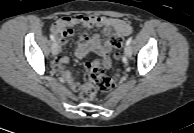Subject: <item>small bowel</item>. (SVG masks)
<instances>
[{
    "label": "small bowel",
    "mask_w": 194,
    "mask_h": 133,
    "mask_svg": "<svg viewBox=\"0 0 194 133\" xmlns=\"http://www.w3.org/2000/svg\"><path fill=\"white\" fill-rule=\"evenodd\" d=\"M64 23L65 25L63 27L55 23L51 28L61 46L66 45L67 39L73 35L71 27L78 24L85 28H101L102 34L106 37L110 36L112 32L127 36L132 31L131 25L125 20L106 16L75 14L64 18ZM89 48H92L97 54L103 57V66L105 68L111 66L110 53L113 50V46L110 41H103L99 34L90 37L87 33H84L80 37L78 53L83 55ZM67 62L68 58L66 56H60L55 59L53 67L61 72L62 76L67 80L73 90H78V83H76L70 73L64 69Z\"/></svg>",
    "instance_id": "c3829d8e"
}]
</instances>
